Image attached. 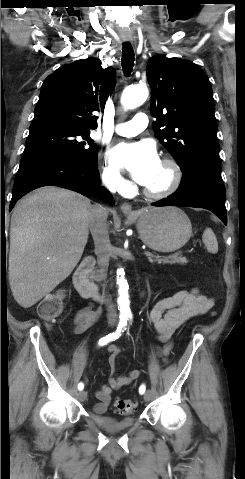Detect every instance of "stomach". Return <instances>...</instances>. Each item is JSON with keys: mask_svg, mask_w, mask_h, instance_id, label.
Listing matches in <instances>:
<instances>
[{"mask_svg": "<svg viewBox=\"0 0 245 479\" xmlns=\"http://www.w3.org/2000/svg\"><path fill=\"white\" fill-rule=\"evenodd\" d=\"M134 220L141 240L158 252H173L192 236L188 216L176 207H148L138 211Z\"/></svg>", "mask_w": 245, "mask_h": 479, "instance_id": "1", "label": "stomach"}]
</instances>
